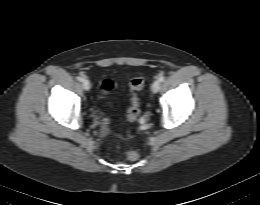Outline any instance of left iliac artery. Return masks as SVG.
Listing matches in <instances>:
<instances>
[{
    "label": "left iliac artery",
    "mask_w": 260,
    "mask_h": 205,
    "mask_svg": "<svg viewBox=\"0 0 260 205\" xmlns=\"http://www.w3.org/2000/svg\"><path fill=\"white\" fill-rule=\"evenodd\" d=\"M164 80H165V77H164V76H160V77H159V81H160V82H163Z\"/></svg>",
    "instance_id": "1"
}]
</instances>
